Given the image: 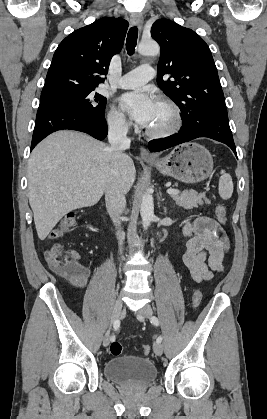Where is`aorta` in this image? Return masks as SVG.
<instances>
[{
    "label": "aorta",
    "instance_id": "1",
    "mask_svg": "<svg viewBox=\"0 0 267 419\" xmlns=\"http://www.w3.org/2000/svg\"><path fill=\"white\" fill-rule=\"evenodd\" d=\"M138 52L145 56H158L160 53L159 45L154 41L141 42L138 46ZM140 214L144 230H147L154 218V201L149 192L142 196Z\"/></svg>",
    "mask_w": 267,
    "mask_h": 419
}]
</instances>
